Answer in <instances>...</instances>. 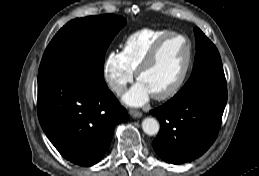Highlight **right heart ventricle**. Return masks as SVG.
<instances>
[{"mask_svg": "<svg viewBox=\"0 0 259 176\" xmlns=\"http://www.w3.org/2000/svg\"><path fill=\"white\" fill-rule=\"evenodd\" d=\"M168 32V29L143 28L130 34L121 51L126 65L135 72L154 43Z\"/></svg>", "mask_w": 259, "mask_h": 176, "instance_id": "right-heart-ventricle-1", "label": "right heart ventricle"}]
</instances>
